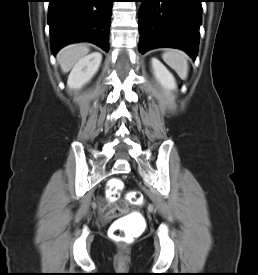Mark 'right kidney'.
Wrapping results in <instances>:
<instances>
[{"mask_svg": "<svg viewBox=\"0 0 258 275\" xmlns=\"http://www.w3.org/2000/svg\"><path fill=\"white\" fill-rule=\"evenodd\" d=\"M102 61L99 52L91 53L80 59L71 70L67 85L69 89H80L96 74Z\"/></svg>", "mask_w": 258, "mask_h": 275, "instance_id": "1", "label": "right kidney"}]
</instances>
